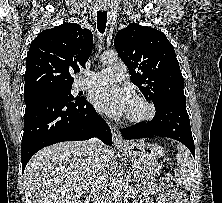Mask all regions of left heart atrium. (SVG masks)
Listing matches in <instances>:
<instances>
[{"instance_id":"obj_1","label":"left heart atrium","mask_w":222,"mask_h":203,"mask_svg":"<svg viewBox=\"0 0 222 203\" xmlns=\"http://www.w3.org/2000/svg\"><path fill=\"white\" fill-rule=\"evenodd\" d=\"M90 99L99 111L111 116L126 115L132 102V96L128 89L113 85L93 90Z\"/></svg>"}]
</instances>
